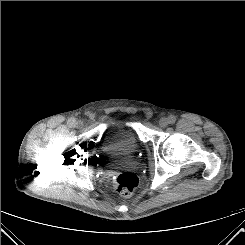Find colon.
Listing matches in <instances>:
<instances>
[{"mask_svg":"<svg viewBox=\"0 0 245 245\" xmlns=\"http://www.w3.org/2000/svg\"><path fill=\"white\" fill-rule=\"evenodd\" d=\"M138 177L132 172H122L117 174L113 179L114 189L122 196L128 197L138 187Z\"/></svg>","mask_w":245,"mask_h":245,"instance_id":"obj_1","label":"colon"}]
</instances>
